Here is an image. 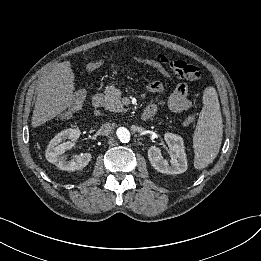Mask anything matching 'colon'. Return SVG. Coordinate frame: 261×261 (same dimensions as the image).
<instances>
[{"label": "colon", "instance_id": "1", "mask_svg": "<svg viewBox=\"0 0 261 261\" xmlns=\"http://www.w3.org/2000/svg\"><path fill=\"white\" fill-rule=\"evenodd\" d=\"M147 65L151 67L160 66L159 64L154 62H147ZM168 66L170 70L174 73V75L179 79L195 81L198 80L201 76V72L198 67L192 64H188L182 60H171L168 62ZM86 94V88L76 90L73 94L72 103L64 115H73L74 113H76L82 107L86 98ZM187 121L192 122L193 116H189L187 118Z\"/></svg>", "mask_w": 261, "mask_h": 261}]
</instances>
